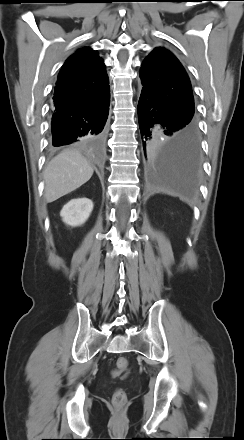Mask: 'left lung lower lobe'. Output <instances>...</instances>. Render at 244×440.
I'll list each match as a JSON object with an SVG mask.
<instances>
[{
	"label": "left lung lower lobe",
	"mask_w": 244,
	"mask_h": 440,
	"mask_svg": "<svg viewBox=\"0 0 244 440\" xmlns=\"http://www.w3.org/2000/svg\"><path fill=\"white\" fill-rule=\"evenodd\" d=\"M138 120L149 171L173 176L179 190L191 194L201 166L199 131L192 118L142 88Z\"/></svg>",
	"instance_id": "1"
}]
</instances>
